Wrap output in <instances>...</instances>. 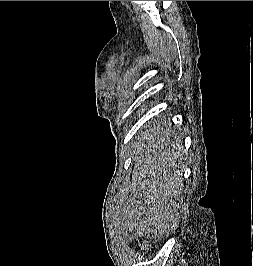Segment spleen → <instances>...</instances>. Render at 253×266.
Wrapping results in <instances>:
<instances>
[{"label":"spleen","mask_w":253,"mask_h":266,"mask_svg":"<svg viewBox=\"0 0 253 266\" xmlns=\"http://www.w3.org/2000/svg\"><path fill=\"white\" fill-rule=\"evenodd\" d=\"M144 147L139 148L143 160L136 162V178L140 185H151L152 190H138L135 198L139 207H117V216H129V234L135 235L137 242H161L163 235H176L174 220L176 210L172 201L177 199L181 163L180 141H160L156 135H145Z\"/></svg>","instance_id":"1"}]
</instances>
